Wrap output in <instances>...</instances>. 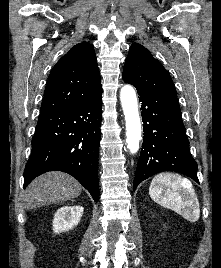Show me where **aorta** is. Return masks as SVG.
Returning <instances> with one entry per match:
<instances>
[{
  "instance_id": "obj_1",
  "label": "aorta",
  "mask_w": 221,
  "mask_h": 268,
  "mask_svg": "<svg viewBox=\"0 0 221 268\" xmlns=\"http://www.w3.org/2000/svg\"><path fill=\"white\" fill-rule=\"evenodd\" d=\"M120 100L126 121L127 147L134 154L139 149L141 140V123L138 112L137 97L131 85H125L120 92Z\"/></svg>"
}]
</instances>
